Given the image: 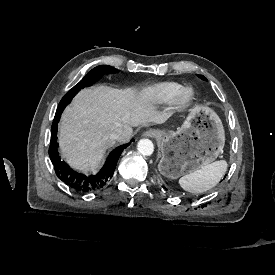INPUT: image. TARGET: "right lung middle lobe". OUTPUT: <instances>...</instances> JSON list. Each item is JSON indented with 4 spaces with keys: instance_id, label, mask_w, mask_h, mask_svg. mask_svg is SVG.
Here are the masks:
<instances>
[{
    "instance_id": "dd1d6c3e",
    "label": "right lung middle lobe",
    "mask_w": 275,
    "mask_h": 275,
    "mask_svg": "<svg viewBox=\"0 0 275 275\" xmlns=\"http://www.w3.org/2000/svg\"><path fill=\"white\" fill-rule=\"evenodd\" d=\"M118 70L108 65H101L92 69L88 74L62 98L61 101L72 100V98L84 87L92 85L105 73H117Z\"/></svg>"
}]
</instances>
